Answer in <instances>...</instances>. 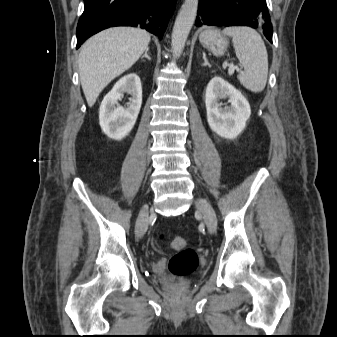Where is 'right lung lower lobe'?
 Masks as SVG:
<instances>
[{
    "instance_id": "1",
    "label": "right lung lower lobe",
    "mask_w": 337,
    "mask_h": 337,
    "mask_svg": "<svg viewBox=\"0 0 337 337\" xmlns=\"http://www.w3.org/2000/svg\"><path fill=\"white\" fill-rule=\"evenodd\" d=\"M175 3L176 0H84L76 48L93 34L114 26H138L162 39Z\"/></svg>"
}]
</instances>
